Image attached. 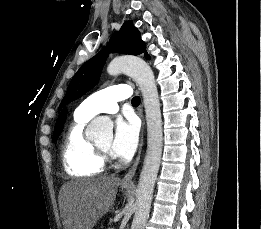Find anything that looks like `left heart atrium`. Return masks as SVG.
I'll return each mask as SVG.
<instances>
[{
  "instance_id": "left-heart-atrium-1",
  "label": "left heart atrium",
  "mask_w": 261,
  "mask_h": 229,
  "mask_svg": "<svg viewBox=\"0 0 261 229\" xmlns=\"http://www.w3.org/2000/svg\"><path fill=\"white\" fill-rule=\"evenodd\" d=\"M140 128L133 118L120 120L116 124L110 149L114 156L129 159L139 142Z\"/></svg>"
}]
</instances>
